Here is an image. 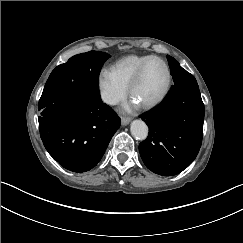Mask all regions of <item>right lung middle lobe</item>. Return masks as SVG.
I'll return each mask as SVG.
<instances>
[{"label":"right lung middle lobe","mask_w":243,"mask_h":243,"mask_svg":"<svg viewBox=\"0 0 243 243\" xmlns=\"http://www.w3.org/2000/svg\"><path fill=\"white\" fill-rule=\"evenodd\" d=\"M109 57L110 55L105 52L90 51L75 55L66 63L57 66L45 84L39 100V110L69 93L100 96L99 73Z\"/></svg>","instance_id":"1"}]
</instances>
